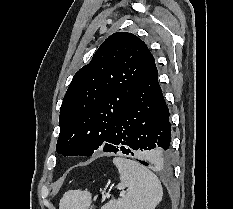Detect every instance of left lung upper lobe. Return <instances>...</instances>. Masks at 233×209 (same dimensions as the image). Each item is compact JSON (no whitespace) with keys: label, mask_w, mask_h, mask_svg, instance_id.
Segmentation results:
<instances>
[{"label":"left lung upper lobe","mask_w":233,"mask_h":209,"mask_svg":"<svg viewBox=\"0 0 233 209\" xmlns=\"http://www.w3.org/2000/svg\"><path fill=\"white\" fill-rule=\"evenodd\" d=\"M154 57L137 36L117 32L98 48L73 77L60 108L57 152L91 156L102 149Z\"/></svg>","instance_id":"left-lung-upper-lobe-1"}]
</instances>
